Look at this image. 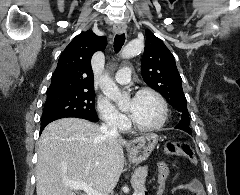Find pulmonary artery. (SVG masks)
Segmentation results:
<instances>
[{"mask_svg":"<svg viewBox=\"0 0 240 195\" xmlns=\"http://www.w3.org/2000/svg\"><path fill=\"white\" fill-rule=\"evenodd\" d=\"M122 70L123 71H118L117 72V75H116V81L119 82V83H126L129 81V71H126L127 70V67L126 66H123L122 67Z\"/></svg>","mask_w":240,"mask_h":195,"instance_id":"pulmonary-artery-1","label":"pulmonary artery"}]
</instances>
